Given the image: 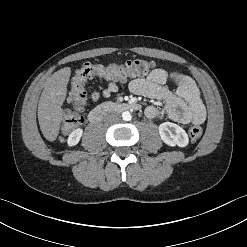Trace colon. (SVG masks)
<instances>
[{"label": "colon", "mask_w": 247, "mask_h": 247, "mask_svg": "<svg viewBox=\"0 0 247 247\" xmlns=\"http://www.w3.org/2000/svg\"><path fill=\"white\" fill-rule=\"evenodd\" d=\"M155 67V62L146 59H133L123 64H100L86 63L75 71L72 78L71 97L73 112L66 115L62 125V135L66 136L73 128L83 122V111L86 103L85 83L96 77L103 76L111 80H125L127 78L142 76ZM203 130L200 126H193L189 130L192 140L201 138Z\"/></svg>", "instance_id": "colon-1"}]
</instances>
